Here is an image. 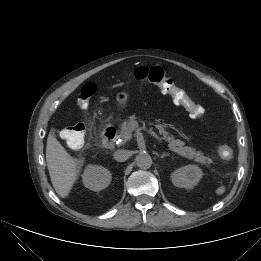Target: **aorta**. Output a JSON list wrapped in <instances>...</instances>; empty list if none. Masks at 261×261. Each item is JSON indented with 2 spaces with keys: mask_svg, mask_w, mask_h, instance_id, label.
<instances>
[{
  "mask_svg": "<svg viewBox=\"0 0 261 261\" xmlns=\"http://www.w3.org/2000/svg\"><path fill=\"white\" fill-rule=\"evenodd\" d=\"M135 161L140 169H148L152 165V158L148 153L137 155Z\"/></svg>",
  "mask_w": 261,
  "mask_h": 261,
  "instance_id": "obj_1",
  "label": "aorta"
}]
</instances>
